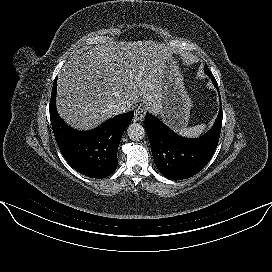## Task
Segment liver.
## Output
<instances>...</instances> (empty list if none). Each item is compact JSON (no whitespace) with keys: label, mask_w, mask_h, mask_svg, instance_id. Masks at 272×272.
<instances>
[{"label":"liver","mask_w":272,"mask_h":272,"mask_svg":"<svg viewBox=\"0 0 272 272\" xmlns=\"http://www.w3.org/2000/svg\"><path fill=\"white\" fill-rule=\"evenodd\" d=\"M172 51L155 41H110L68 61L58 76L57 111L71 127L90 130L114 106L143 101L157 107L162 72Z\"/></svg>","instance_id":"1"}]
</instances>
